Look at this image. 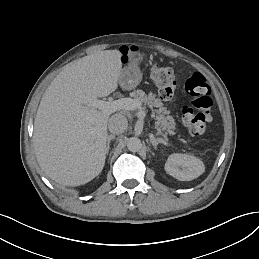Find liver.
I'll return each mask as SVG.
<instances>
[{
  "label": "liver",
  "instance_id": "1",
  "mask_svg": "<svg viewBox=\"0 0 259 259\" xmlns=\"http://www.w3.org/2000/svg\"><path fill=\"white\" fill-rule=\"evenodd\" d=\"M121 53L105 50L66 65L49 85L34 120L33 150L41 169L57 183L78 186L101 173L110 116L82 108L118 89Z\"/></svg>",
  "mask_w": 259,
  "mask_h": 259
}]
</instances>
